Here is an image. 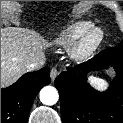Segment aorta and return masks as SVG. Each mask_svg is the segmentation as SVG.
<instances>
[{
  "label": "aorta",
  "instance_id": "1",
  "mask_svg": "<svg viewBox=\"0 0 123 123\" xmlns=\"http://www.w3.org/2000/svg\"><path fill=\"white\" fill-rule=\"evenodd\" d=\"M59 95L55 87L45 86L40 91V101L45 105H54Z\"/></svg>",
  "mask_w": 123,
  "mask_h": 123
}]
</instances>
